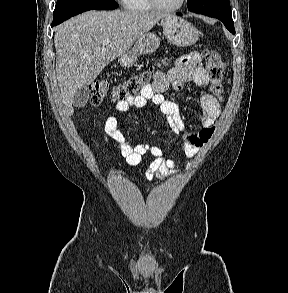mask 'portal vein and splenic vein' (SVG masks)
<instances>
[{
  "label": "portal vein and splenic vein",
  "mask_w": 288,
  "mask_h": 293,
  "mask_svg": "<svg viewBox=\"0 0 288 293\" xmlns=\"http://www.w3.org/2000/svg\"><path fill=\"white\" fill-rule=\"evenodd\" d=\"M101 43H102L103 46H104V45H107V44L110 43V39H103V40L101 41Z\"/></svg>",
  "instance_id": "obj_1"
}]
</instances>
